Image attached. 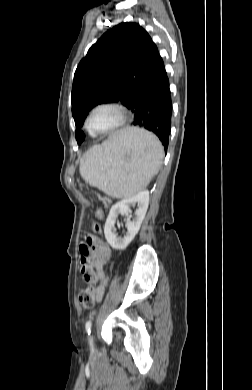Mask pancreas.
<instances>
[{
  "instance_id": "pancreas-1",
  "label": "pancreas",
  "mask_w": 252,
  "mask_h": 390,
  "mask_svg": "<svg viewBox=\"0 0 252 390\" xmlns=\"http://www.w3.org/2000/svg\"><path fill=\"white\" fill-rule=\"evenodd\" d=\"M102 201H103V203H104V205H105L106 207L111 203V200L108 199V198H104V199H102Z\"/></svg>"
}]
</instances>
